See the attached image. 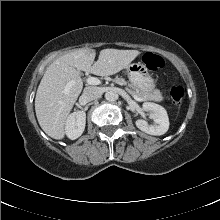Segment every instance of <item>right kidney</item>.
Returning <instances> with one entry per match:
<instances>
[{"label": "right kidney", "mask_w": 220, "mask_h": 220, "mask_svg": "<svg viewBox=\"0 0 220 220\" xmlns=\"http://www.w3.org/2000/svg\"><path fill=\"white\" fill-rule=\"evenodd\" d=\"M86 113L84 111H76L71 113L65 126V133L71 140H75L80 137L85 129Z\"/></svg>", "instance_id": "right-kidney-1"}]
</instances>
